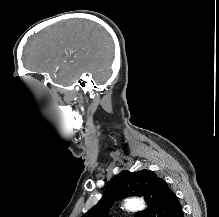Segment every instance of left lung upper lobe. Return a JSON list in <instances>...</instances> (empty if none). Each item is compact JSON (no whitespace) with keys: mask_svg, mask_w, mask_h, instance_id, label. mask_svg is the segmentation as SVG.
Instances as JSON below:
<instances>
[{"mask_svg":"<svg viewBox=\"0 0 219 217\" xmlns=\"http://www.w3.org/2000/svg\"><path fill=\"white\" fill-rule=\"evenodd\" d=\"M128 196H144L149 208L135 217H173L180 203L164 179L150 170L122 171L107 185L102 199L82 217H109L112 203Z\"/></svg>","mask_w":219,"mask_h":217,"instance_id":"1","label":"left lung upper lobe"}]
</instances>
